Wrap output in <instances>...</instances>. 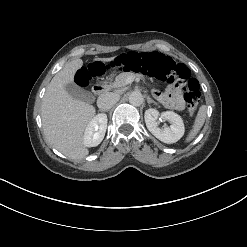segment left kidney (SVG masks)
I'll return each mask as SVG.
<instances>
[{"mask_svg": "<svg viewBox=\"0 0 247 247\" xmlns=\"http://www.w3.org/2000/svg\"><path fill=\"white\" fill-rule=\"evenodd\" d=\"M168 120L171 125L161 129L158 127V117ZM145 123L148 130L160 141L172 144L182 138L185 132V127L182 118L172 111L159 113L156 109H148L145 111Z\"/></svg>", "mask_w": 247, "mask_h": 247, "instance_id": "1", "label": "left kidney"}]
</instances>
